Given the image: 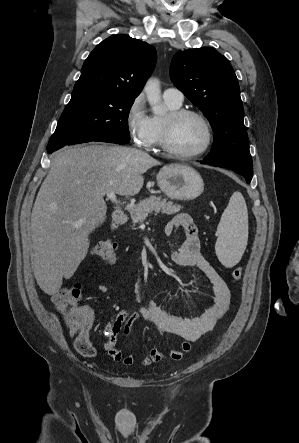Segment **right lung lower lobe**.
<instances>
[{
    "instance_id": "98d812e1",
    "label": "right lung lower lobe",
    "mask_w": 299,
    "mask_h": 443,
    "mask_svg": "<svg viewBox=\"0 0 299 443\" xmlns=\"http://www.w3.org/2000/svg\"><path fill=\"white\" fill-rule=\"evenodd\" d=\"M91 141H100V142H108V143H115V144H126V143H128L127 141L122 140L120 138H117L115 136H111V135H97V136L77 139V140L72 141L70 143L48 145L47 146V152L49 154H51L52 152H54V151L64 147L65 145H74V144L91 142Z\"/></svg>"
}]
</instances>
